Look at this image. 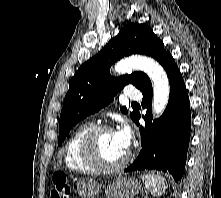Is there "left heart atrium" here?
I'll list each match as a JSON object with an SVG mask.
<instances>
[{
    "label": "left heart atrium",
    "mask_w": 221,
    "mask_h": 198,
    "mask_svg": "<svg viewBox=\"0 0 221 198\" xmlns=\"http://www.w3.org/2000/svg\"><path fill=\"white\" fill-rule=\"evenodd\" d=\"M115 137L120 146L128 150L131 142V130L128 125H122L117 131H115Z\"/></svg>",
    "instance_id": "39dd6f15"
}]
</instances>
